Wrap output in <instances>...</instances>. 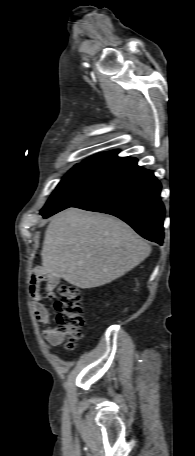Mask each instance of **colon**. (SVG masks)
<instances>
[{"instance_id": "colon-1", "label": "colon", "mask_w": 195, "mask_h": 456, "mask_svg": "<svg viewBox=\"0 0 195 456\" xmlns=\"http://www.w3.org/2000/svg\"><path fill=\"white\" fill-rule=\"evenodd\" d=\"M55 308L57 310L56 330L65 334V346L71 349L80 339V330L84 324L82 297L79 289L71 284H61Z\"/></svg>"}]
</instances>
